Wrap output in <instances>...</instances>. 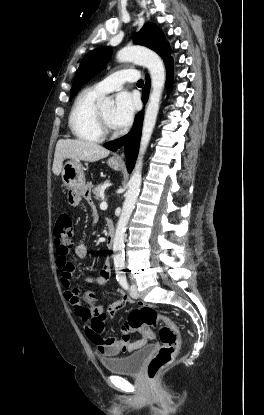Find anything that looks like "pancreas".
I'll list each match as a JSON object with an SVG mask.
<instances>
[{
    "label": "pancreas",
    "mask_w": 264,
    "mask_h": 415,
    "mask_svg": "<svg viewBox=\"0 0 264 415\" xmlns=\"http://www.w3.org/2000/svg\"><path fill=\"white\" fill-rule=\"evenodd\" d=\"M105 188L102 185L96 186L92 192L95 195L96 200H101L104 197Z\"/></svg>",
    "instance_id": "cf45deb5"
}]
</instances>
